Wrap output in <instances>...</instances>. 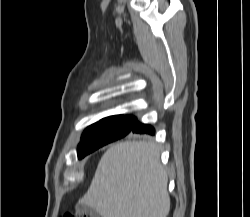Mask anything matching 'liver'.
<instances>
[{
  "label": "liver",
  "mask_w": 250,
  "mask_h": 217,
  "mask_svg": "<svg viewBox=\"0 0 250 217\" xmlns=\"http://www.w3.org/2000/svg\"><path fill=\"white\" fill-rule=\"evenodd\" d=\"M168 177L153 141L113 144L101 157L79 204L102 217H167Z\"/></svg>",
  "instance_id": "6515ba94"
}]
</instances>
